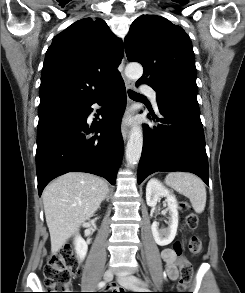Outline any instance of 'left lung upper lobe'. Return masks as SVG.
Instances as JSON below:
<instances>
[{
	"instance_id": "1",
	"label": "left lung upper lobe",
	"mask_w": 245,
	"mask_h": 293,
	"mask_svg": "<svg viewBox=\"0 0 245 293\" xmlns=\"http://www.w3.org/2000/svg\"><path fill=\"white\" fill-rule=\"evenodd\" d=\"M125 52L129 61L143 66L138 82L157 92V102L172 101L199 109L194 52L183 28L160 16L142 15L130 27Z\"/></svg>"
}]
</instances>
